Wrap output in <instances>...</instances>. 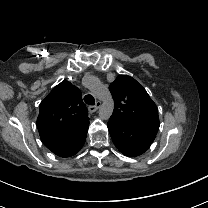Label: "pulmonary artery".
I'll use <instances>...</instances> for the list:
<instances>
[{
  "label": "pulmonary artery",
  "instance_id": "obj_1",
  "mask_svg": "<svg viewBox=\"0 0 208 208\" xmlns=\"http://www.w3.org/2000/svg\"><path fill=\"white\" fill-rule=\"evenodd\" d=\"M97 83H98V82H97L96 80H93V81H92V84H94V85L97 84Z\"/></svg>",
  "mask_w": 208,
  "mask_h": 208
}]
</instances>
